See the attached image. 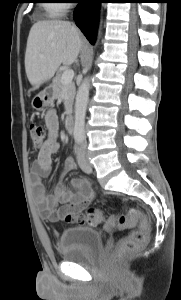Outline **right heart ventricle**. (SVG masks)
<instances>
[{
  "label": "right heart ventricle",
  "instance_id": "right-heart-ventricle-1",
  "mask_svg": "<svg viewBox=\"0 0 181 300\" xmlns=\"http://www.w3.org/2000/svg\"><path fill=\"white\" fill-rule=\"evenodd\" d=\"M46 12L51 17H58L63 14L65 6L60 3L45 4Z\"/></svg>",
  "mask_w": 181,
  "mask_h": 300
}]
</instances>
